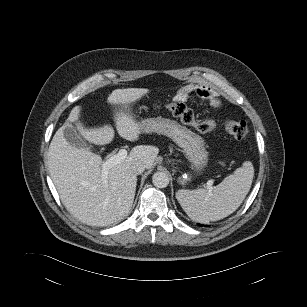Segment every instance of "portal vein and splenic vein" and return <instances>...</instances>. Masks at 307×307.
<instances>
[{
  "mask_svg": "<svg viewBox=\"0 0 307 307\" xmlns=\"http://www.w3.org/2000/svg\"><path fill=\"white\" fill-rule=\"evenodd\" d=\"M127 156V150L126 149H120L117 154H114L113 156L109 157L103 164L102 167V175L104 178H107L108 171L113 166L120 164Z\"/></svg>",
  "mask_w": 307,
  "mask_h": 307,
  "instance_id": "portal-vein-and-splenic-vein-1",
  "label": "portal vein and splenic vein"
}]
</instances>
